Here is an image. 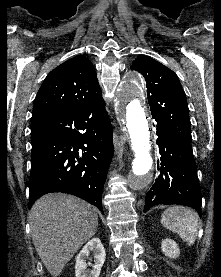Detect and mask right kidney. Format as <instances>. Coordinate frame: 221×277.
<instances>
[{"label":"right kidney","mask_w":221,"mask_h":277,"mask_svg":"<svg viewBox=\"0 0 221 277\" xmlns=\"http://www.w3.org/2000/svg\"><path fill=\"white\" fill-rule=\"evenodd\" d=\"M90 251L94 253V265L92 270H87L86 258ZM105 249L99 238H93L86 243L76 258L75 276L76 277H99L101 268L105 262Z\"/></svg>","instance_id":"ca27d5eb"}]
</instances>
